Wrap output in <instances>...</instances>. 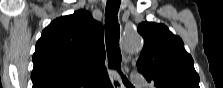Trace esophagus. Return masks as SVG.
<instances>
[{
    "label": "esophagus",
    "instance_id": "esophagus-1",
    "mask_svg": "<svg viewBox=\"0 0 223 88\" xmlns=\"http://www.w3.org/2000/svg\"><path fill=\"white\" fill-rule=\"evenodd\" d=\"M111 82L114 88H122L120 77L116 71L112 70L110 73Z\"/></svg>",
    "mask_w": 223,
    "mask_h": 88
}]
</instances>
